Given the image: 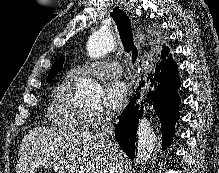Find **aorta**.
Returning a JSON list of instances; mask_svg holds the SVG:
<instances>
[{
	"label": "aorta",
	"instance_id": "aorta-1",
	"mask_svg": "<svg viewBox=\"0 0 219 173\" xmlns=\"http://www.w3.org/2000/svg\"><path fill=\"white\" fill-rule=\"evenodd\" d=\"M115 47V38L108 30L101 28L89 37L87 41V54L97 59L111 52ZM77 94L86 101H94L101 94V87L95 81L82 79L77 85ZM138 146L136 162L144 165L149 160L155 146V134L148 119L142 118L137 128Z\"/></svg>",
	"mask_w": 219,
	"mask_h": 173
}]
</instances>
